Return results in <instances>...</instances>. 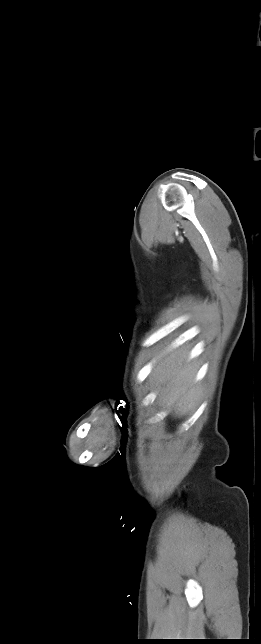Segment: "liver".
<instances>
[{"instance_id": "1", "label": "liver", "mask_w": 261, "mask_h": 644, "mask_svg": "<svg viewBox=\"0 0 261 644\" xmlns=\"http://www.w3.org/2000/svg\"><path fill=\"white\" fill-rule=\"evenodd\" d=\"M160 355L151 373L153 389L163 406L184 416L195 409L202 392L201 385L195 383L197 366L189 360L185 346L169 353L161 350Z\"/></svg>"}]
</instances>
